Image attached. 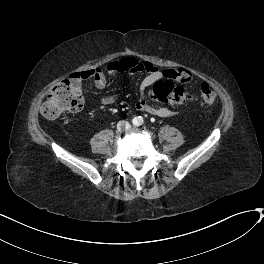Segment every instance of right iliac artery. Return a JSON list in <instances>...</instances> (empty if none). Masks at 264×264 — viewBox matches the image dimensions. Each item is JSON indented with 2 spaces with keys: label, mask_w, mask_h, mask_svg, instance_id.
Instances as JSON below:
<instances>
[{
  "label": "right iliac artery",
  "mask_w": 264,
  "mask_h": 264,
  "mask_svg": "<svg viewBox=\"0 0 264 264\" xmlns=\"http://www.w3.org/2000/svg\"><path fill=\"white\" fill-rule=\"evenodd\" d=\"M133 125H137V122L135 120H133Z\"/></svg>",
  "instance_id": "1"
}]
</instances>
